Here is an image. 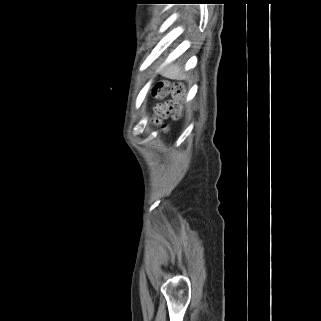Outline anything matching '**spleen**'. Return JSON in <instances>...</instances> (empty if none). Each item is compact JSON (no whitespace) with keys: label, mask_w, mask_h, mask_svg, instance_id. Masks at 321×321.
Returning <instances> with one entry per match:
<instances>
[{"label":"spleen","mask_w":321,"mask_h":321,"mask_svg":"<svg viewBox=\"0 0 321 321\" xmlns=\"http://www.w3.org/2000/svg\"><path fill=\"white\" fill-rule=\"evenodd\" d=\"M163 76L170 79H184L185 77L181 75V69L178 65H171L164 72Z\"/></svg>","instance_id":"spleen-1"}]
</instances>
